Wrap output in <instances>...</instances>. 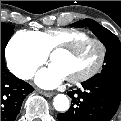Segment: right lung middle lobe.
I'll use <instances>...</instances> for the list:
<instances>
[{
    "mask_svg": "<svg viewBox=\"0 0 121 121\" xmlns=\"http://www.w3.org/2000/svg\"><path fill=\"white\" fill-rule=\"evenodd\" d=\"M13 33V26L1 22V60L5 59L4 49Z\"/></svg>",
    "mask_w": 121,
    "mask_h": 121,
    "instance_id": "obj_1",
    "label": "right lung middle lobe"
}]
</instances>
